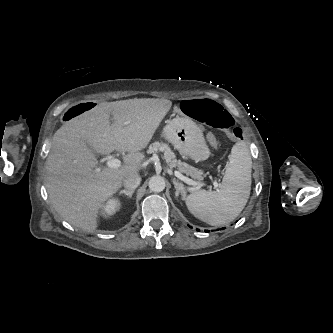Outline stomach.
<instances>
[{
    "label": "stomach",
    "instance_id": "stomach-1",
    "mask_svg": "<svg viewBox=\"0 0 333 333\" xmlns=\"http://www.w3.org/2000/svg\"><path fill=\"white\" fill-rule=\"evenodd\" d=\"M191 118L176 116L163 129V135L180 154L195 162H203L212 156L203 132L194 127Z\"/></svg>",
    "mask_w": 333,
    "mask_h": 333
}]
</instances>
